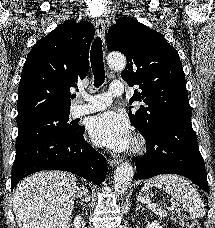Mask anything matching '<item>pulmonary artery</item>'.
I'll list each match as a JSON object with an SVG mask.
<instances>
[{
  "label": "pulmonary artery",
  "instance_id": "obj_1",
  "mask_svg": "<svg viewBox=\"0 0 215 228\" xmlns=\"http://www.w3.org/2000/svg\"><path fill=\"white\" fill-rule=\"evenodd\" d=\"M108 89H111L109 93L98 95H89L85 92H80L74 100L71 108V116L79 117L107 108L111 104L112 96H120L124 92V82L108 84Z\"/></svg>",
  "mask_w": 215,
  "mask_h": 228
}]
</instances>
